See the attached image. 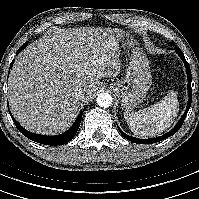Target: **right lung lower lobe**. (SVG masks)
Instances as JSON below:
<instances>
[{
  "instance_id": "98d812e1",
  "label": "right lung lower lobe",
  "mask_w": 199,
  "mask_h": 199,
  "mask_svg": "<svg viewBox=\"0 0 199 199\" xmlns=\"http://www.w3.org/2000/svg\"><path fill=\"white\" fill-rule=\"evenodd\" d=\"M27 43L23 44L19 50L17 51V54L19 52H21L25 47H26ZM13 65V61L10 65ZM9 74V73H8ZM9 109V108H8ZM84 111V110H83ZM83 111L78 115L76 121L74 122L73 126L65 133L61 134V135H57V136H45V135H39V134H34L31 133L27 130H25L11 115L13 122L15 123L16 127L18 128V130L24 135L26 136L28 139L41 143V144H45V145H51V146H56V145H63L68 143L77 133L78 129H79V125L82 119V113ZM10 112V111H9Z\"/></svg>"
}]
</instances>
